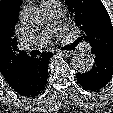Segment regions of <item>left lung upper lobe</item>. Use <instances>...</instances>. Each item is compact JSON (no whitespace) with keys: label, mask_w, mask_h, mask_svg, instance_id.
Wrapping results in <instances>:
<instances>
[{"label":"left lung upper lobe","mask_w":113,"mask_h":113,"mask_svg":"<svg viewBox=\"0 0 113 113\" xmlns=\"http://www.w3.org/2000/svg\"><path fill=\"white\" fill-rule=\"evenodd\" d=\"M75 16L76 26L82 31L78 42L85 40L96 47L113 52V27L100 0H67Z\"/></svg>","instance_id":"left-lung-upper-lobe-1"}]
</instances>
